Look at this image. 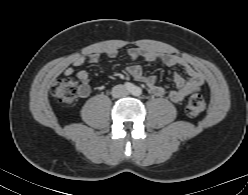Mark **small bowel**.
I'll use <instances>...</instances> for the list:
<instances>
[{
	"mask_svg": "<svg viewBox=\"0 0 248 195\" xmlns=\"http://www.w3.org/2000/svg\"><path fill=\"white\" fill-rule=\"evenodd\" d=\"M116 49H110L107 51L108 56L116 57L117 56ZM129 56L132 58H136L138 56H142L144 60L147 62H155L159 61L167 66H181L183 67L185 73L187 74L188 78L184 79L182 76L175 74L173 76V81L175 84V88L169 92V98L172 102L179 103L183 101L187 96L191 93L199 91L200 88L204 84V75L194 67L186 64L182 61L178 56L173 54L167 53H157L153 51H145L141 52L137 49H130ZM101 55L99 53H94L86 57H77L73 60L72 65L75 67L81 66L85 63V61L89 60L92 62L99 61ZM127 71L130 75H132L136 80L145 83L150 91L155 96H162L165 93V89L157 84L156 79L152 75H147L144 72L142 66L134 64L130 65L127 68ZM73 72V67L69 66L65 69V74H71ZM77 77L83 82L86 83L88 81L89 75L88 72L85 70H79L77 72ZM90 89L87 85H85L84 90L82 91V95L85 96L89 94Z\"/></svg>",
	"mask_w": 248,
	"mask_h": 195,
	"instance_id": "c3829d8e",
	"label": "small bowel"
}]
</instances>
